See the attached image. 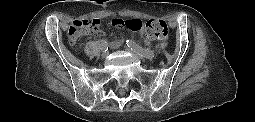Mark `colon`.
<instances>
[{
    "instance_id": "obj_1",
    "label": "colon",
    "mask_w": 255,
    "mask_h": 122,
    "mask_svg": "<svg viewBox=\"0 0 255 122\" xmlns=\"http://www.w3.org/2000/svg\"><path fill=\"white\" fill-rule=\"evenodd\" d=\"M101 26V21L98 19H86L74 21L69 29L68 34L72 40H75L82 33L96 32ZM108 28L123 27L132 31H145L147 36L158 40H165L168 36V26L161 19L141 20L136 18H119L112 19L106 22Z\"/></svg>"
}]
</instances>
